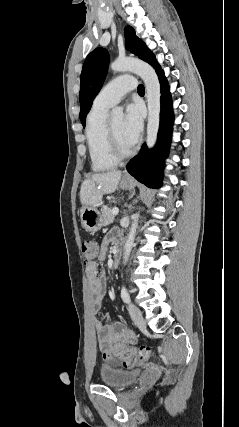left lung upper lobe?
<instances>
[{"label":"left lung upper lobe","instance_id":"1","mask_svg":"<svg viewBox=\"0 0 239 427\" xmlns=\"http://www.w3.org/2000/svg\"><path fill=\"white\" fill-rule=\"evenodd\" d=\"M126 47L132 53L136 54L140 59L148 62L154 68L158 66V62L155 59L154 54L147 48L135 34L132 27L127 26L124 30ZM109 53L104 48L94 49L86 58L82 72H81V83H80V120L85 127V119L89 112L92 101L100 91L103 81L108 70Z\"/></svg>","mask_w":239,"mask_h":427}]
</instances>
